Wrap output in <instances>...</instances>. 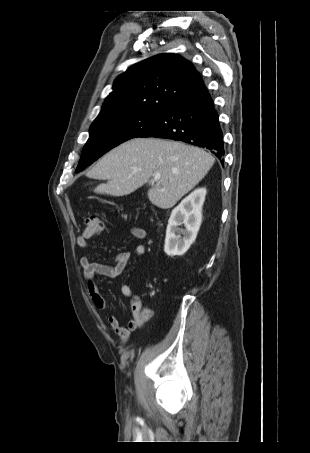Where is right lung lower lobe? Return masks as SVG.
Listing matches in <instances>:
<instances>
[{"label":"right lung lower lobe","instance_id":"obj_1","mask_svg":"<svg viewBox=\"0 0 310 453\" xmlns=\"http://www.w3.org/2000/svg\"><path fill=\"white\" fill-rule=\"evenodd\" d=\"M138 137L183 141L209 149L223 162L224 142L219 116L204 82L168 106Z\"/></svg>","mask_w":310,"mask_h":453}]
</instances>
